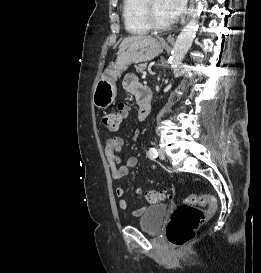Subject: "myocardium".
Wrapping results in <instances>:
<instances>
[{"label":"myocardium","mask_w":261,"mask_h":273,"mask_svg":"<svg viewBox=\"0 0 261 273\" xmlns=\"http://www.w3.org/2000/svg\"><path fill=\"white\" fill-rule=\"evenodd\" d=\"M154 0H144L143 17L150 29L155 31H166L171 28L172 24H161L157 21L153 11Z\"/></svg>","instance_id":"f54148a6"}]
</instances>
